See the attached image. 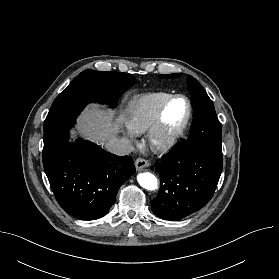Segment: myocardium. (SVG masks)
<instances>
[{
	"instance_id": "obj_1",
	"label": "myocardium",
	"mask_w": 279,
	"mask_h": 279,
	"mask_svg": "<svg viewBox=\"0 0 279 279\" xmlns=\"http://www.w3.org/2000/svg\"><path fill=\"white\" fill-rule=\"evenodd\" d=\"M183 99L187 105V114L183 123L172 132L164 130V114L169 104L176 100ZM192 117V104L189 98L183 94L171 95L160 107L156 120L148 133V144L155 153H165L171 150L182 138L187 130Z\"/></svg>"
}]
</instances>
